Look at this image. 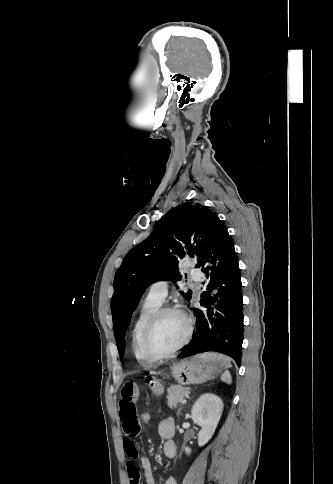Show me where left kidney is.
Here are the masks:
<instances>
[{
    "mask_svg": "<svg viewBox=\"0 0 333 484\" xmlns=\"http://www.w3.org/2000/svg\"><path fill=\"white\" fill-rule=\"evenodd\" d=\"M223 411L222 400L212 393L203 394L193 405L191 417L201 427L198 433V445L204 446L213 436ZM190 454L191 449L185 447Z\"/></svg>",
    "mask_w": 333,
    "mask_h": 484,
    "instance_id": "obj_1",
    "label": "left kidney"
}]
</instances>
